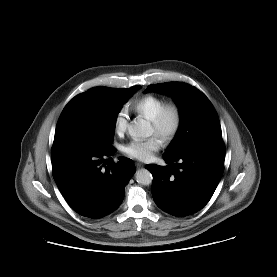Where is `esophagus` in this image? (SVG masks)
Returning <instances> with one entry per match:
<instances>
[{
    "instance_id": "esophagus-1",
    "label": "esophagus",
    "mask_w": 277,
    "mask_h": 277,
    "mask_svg": "<svg viewBox=\"0 0 277 277\" xmlns=\"http://www.w3.org/2000/svg\"><path fill=\"white\" fill-rule=\"evenodd\" d=\"M136 166H137V168H142V167H144V165L142 164V163H136Z\"/></svg>"
}]
</instances>
